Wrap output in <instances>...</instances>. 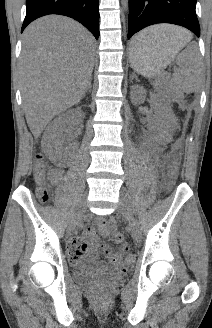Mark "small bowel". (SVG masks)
<instances>
[{
	"label": "small bowel",
	"mask_w": 212,
	"mask_h": 328,
	"mask_svg": "<svg viewBox=\"0 0 212 328\" xmlns=\"http://www.w3.org/2000/svg\"><path fill=\"white\" fill-rule=\"evenodd\" d=\"M61 176V171L56 170L52 174L54 181ZM98 226L104 235H109L113 230V224L105 220H99ZM101 248L107 257L108 262L98 261L96 267L100 271L123 270L124 264L118 254H114L111 249L99 242L97 238L96 228L94 226L87 227L80 237H75L69 244V256L73 262L80 261L87 254L96 255L97 249Z\"/></svg>",
	"instance_id": "1"
}]
</instances>
